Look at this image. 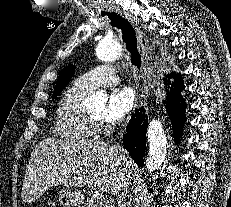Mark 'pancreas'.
Returning <instances> with one entry per match:
<instances>
[{"label":"pancreas","mask_w":231,"mask_h":207,"mask_svg":"<svg viewBox=\"0 0 231 207\" xmlns=\"http://www.w3.org/2000/svg\"><path fill=\"white\" fill-rule=\"evenodd\" d=\"M82 207H105L104 202L98 201L95 197L87 199Z\"/></svg>","instance_id":"obj_1"}]
</instances>
